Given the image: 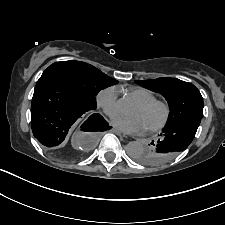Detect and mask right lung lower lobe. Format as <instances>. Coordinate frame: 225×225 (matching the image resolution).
<instances>
[{
	"label": "right lung lower lobe",
	"mask_w": 225,
	"mask_h": 225,
	"mask_svg": "<svg viewBox=\"0 0 225 225\" xmlns=\"http://www.w3.org/2000/svg\"><path fill=\"white\" fill-rule=\"evenodd\" d=\"M92 110L94 109L60 81L40 78L35 86L31 105L33 135L43 146L54 149L65 140L76 120ZM91 118V131L110 128L100 115L92 114L89 119Z\"/></svg>",
	"instance_id": "right-lung-lower-lobe-1"
}]
</instances>
